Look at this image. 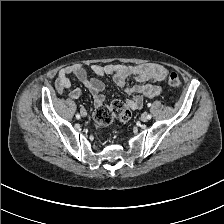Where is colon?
<instances>
[{"label": "colon", "instance_id": "obj_1", "mask_svg": "<svg viewBox=\"0 0 224 224\" xmlns=\"http://www.w3.org/2000/svg\"><path fill=\"white\" fill-rule=\"evenodd\" d=\"M167 84L169 87L178 90L181 87V80L176 73H170L167 76ZM130 116L131 112L126 104L121 100H114L110 105L102 104L97 107L94 121L97 126H108L114 119L127 122Z\"/></svg>", "mask_w": 224, "mask_h": 224}]
</instances>
